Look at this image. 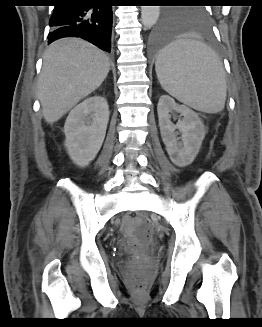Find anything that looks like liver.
Instances as JSON below:
<instances>
[{
    "label": "liver",
    "mask_w": 262,
    "mask_h": 327,
    "mask_svg": "<svg viewBox=\"0 0 262 327\" xmlns=\"http://www.w3.org/2000/svg\"><path fill=\"white\" fill-rule=\"evenodd\" d=\"M110 70L107 55L78 38L53 42L43 56L38 98L45 121L53 124L95 91Z\"/></svg>",
    "instance_id": "1"
}]
</instances>
